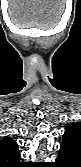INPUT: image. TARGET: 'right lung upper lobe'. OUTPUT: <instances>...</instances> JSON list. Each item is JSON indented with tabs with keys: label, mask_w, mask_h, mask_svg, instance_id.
Masks as SVG:
<instances>
[{
	"label": "right lung upper lobe",
	"mask_w": 81,
	"mask_h": 167,
	"mask_svg": "<svg viewBox=\"0 0 81 167\" xmlns=\"http://www.w3.org/2000/svg\"><path fill=\"white\" fill-rule=\"evenodd\" d=\"M20 159L18 144L10 137L3 138L0 141V166L16 167L22 165Z\"/></svg>",
	"instance_id": "cb5924a9"
}]
</instances>
